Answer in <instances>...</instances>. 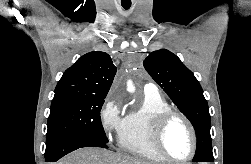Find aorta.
Wrapping results in <instances>:
<instances>
[{
  "label": "aorta",
  "instance_id": "1",
  "mask_svg": "<svg viewBox=\"0 0 251 164\" xmlns=\"http://www.w3.org/2000/svg\"><path fill=\"white\" fill-rule=\"evenodd\" d=\"M127 89H128L129 92H134V90H135V87L133 86L131 81H128Z\"/></svg>",
  "mask_w": 251,
  "mask_h": 164
}]
</instances>
